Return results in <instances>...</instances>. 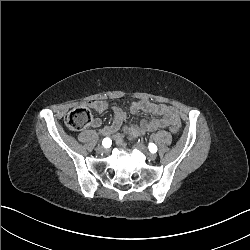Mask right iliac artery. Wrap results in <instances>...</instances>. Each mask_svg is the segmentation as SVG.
<instances>
[{
  "label": "right iliac artery",
  "instance_id": "right-iliac-artery-1",
  "mask_svg": "<svg viewBox=\"0 0 250 250\" xmlns=\"http://www.w3.org/2000/svg\"><path fill=\"white\" fill-rule=\"evenodd\" d=\"M111 144H112V141H111V139L108 138V137L104 138L103 141H102V145H103L105 148L110 147Z\"/></svg>",
  "mask_w": 250,
  "mask_h": 250
}]
</instances>
